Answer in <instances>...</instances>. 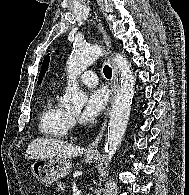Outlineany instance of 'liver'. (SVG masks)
Instances as JSON below:
<instances>
[{
	"mask_svg": "<svg viewBox=\"0 0 189 195\" xmlns=\"http://www.w3.org/2000/svg\"><path fill=\"white\" fill-rule=\"evenodd\" d=\"M84 148L60 140L36 138L31 141L26 150V159H40L47 157L74 158L83 154Z\"/></svg>",
	"mask_w": 189,
	"mask_h": 195,
	"instance_id": "1",
	"label": "liver"
}]
</instances>
